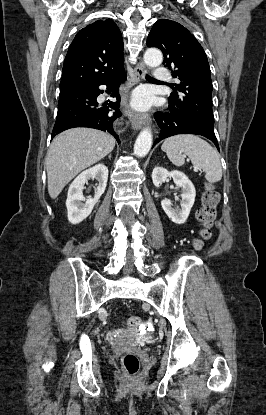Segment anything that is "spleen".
Wrapping results in <instances>:
<instances>
[{
    "label": "spleen",
    "mask_w": 266,
    "mask_h": 415,
    "mask_svg": "<svg viewBox=\"0 0 266 415\" xmlns=\"http://www.w3.org/2000/svg\"><path fill=\"white\" fill-rule=\"evenodd\" d=\"M175 166H182L185 157L205 172V179L215 183L222 178V167L217 151L205 140L195 135H176L166 139L161 147Z\"/></svg>",
    "instance_id": "spleen-1"
}]
</instances>
